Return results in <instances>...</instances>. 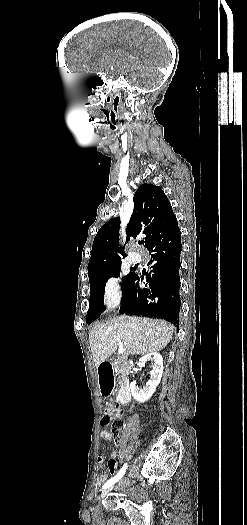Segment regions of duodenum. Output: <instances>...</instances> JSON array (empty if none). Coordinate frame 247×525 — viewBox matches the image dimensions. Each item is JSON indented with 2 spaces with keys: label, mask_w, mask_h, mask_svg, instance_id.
<instances>
[{
  "label": "duodenum",
  "mask_w": 247,
  "mask_h": 525,
  "mask_svg": "<svg viewBox=\"0 0 247 525\" xmlns=\"http://www.w3.org/2000/svg\"><path fill=\"white\" fill-rule=\"evenodd\" d=\"M97 377L100 387V392L103 396H109L112 393L114 385L113 363L111 361H103L97 368ZM131 398V391L129 381L124 379L120 385L117 394V403L125 405Z\"/></svg>",
  "instance_id": "1"
}]
</instances>
